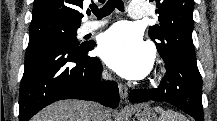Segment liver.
<instances>
[{
	"instance_id": "6515ba94",
	"label": "liver",
	"mask_w": 217,
	"mask_h": 121,
	"mask_svg": "<svg viewBox=\"0 0 217 121\" xmlns=\"http://www.w3.org/2000/svg\"><path fill=\"white\" fill-rule=\"evenodd\" d=\"M90 111L91 103L87 101H58L44 108L31 121H89ZM104 119L110 121L109 111H104Z\"/></svg>"
}]
</instances>
